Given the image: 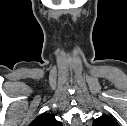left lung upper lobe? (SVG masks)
<instances>
[{
	"label": "left lung upper lobe",
	"mask_w": 127,
	"mask_h": 126,
	"mask_svg": "<svg viewBox=\"0 0 127 126\" xmlns=\"http://www.w3.org/2000/svg\"><path fill=\"white\" fill-rule=\"evenodd\" d=\"M93 126H119V124L111 116L103 114L94 120Z\"/></svg>",
	"instance_id": "left-lung-upper-lobe-1"
}]
</instances>
